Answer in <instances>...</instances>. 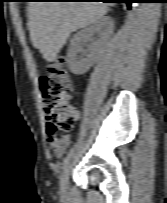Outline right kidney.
Instances as JSON below:
<instances>
[{"label": "right kidney", "instance_id": "1", "mask_svg": "<svg viewBox=\"0 0 167 203\" xmlns=\"http://www.w3.org/2000/svg\"><path fill=\"white\" fill-rule=\"evenodd\" d=\"M114 22L110 17H102L92 26L77 32L70 43L68 51V65L73 74L86 73L96 61L104 41L113 33ZM103 36V40H96L89 44L94 34ZM87 47V50H84ZM79 54H81L79 56Z\"/></svg>", "mask_w": 167, "mask_h": 203}]
</instances>
